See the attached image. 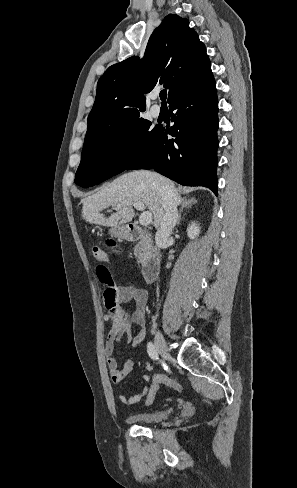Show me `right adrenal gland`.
I'll use <instances>...</instances> for the list:
<instances>
[{
    "label": "right adrenal gland",
    "mask_w": 297,
    "mask_h": 488,
    "mask_svg": "<svg viewBox=\"0 0 297 488\" xmlns=\"http://www.w3.org/2000/svg\"><path fill=\"white\" fill-rule=\"evenodd\" d=\"M196 202H197V200H196L195 198H191V199H186V198H185V199H182V200L180 201V203H179V204H180L181 208H180V210H179V214H178V218H177V222H176V224H177V225H179V224H180V220H181V214H182L183 210H184V209L191 208V206H192L193 204H195Z\"/></svg>",
    "instance_id": "obj_1"
}]
</instances>
